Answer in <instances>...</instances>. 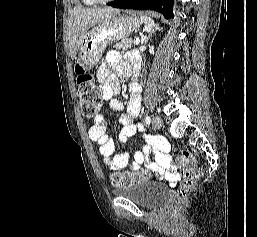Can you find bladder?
<instances>
[{"label": "bladder", "instance_id": "31cf9c89", "mask_svg": "<svg viewBox=\"0 0 257 237\" xmlns=\"http://www.w3.org/2000/svg\"><path fill=\"white\" fill-rule=\"evenodd\" d=\"M117 197L128 198L139 206L157 209L168 201V190L156 181H141L112 190Z\"/></svg>", "mask_w": 257, "mask_h": 237}]
</instances>
